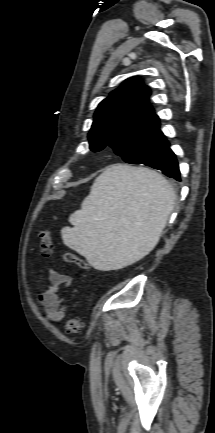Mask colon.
<instances>
[{
    "label": "colon",
    "mask_w": 215,
    "mask_h": 433,
    "mask_svg": "<svg viewBox=\"0 0 215 433\" xmlns=\"http://www.w3.org/2000/svg\"><path fill=\"white\" fill-rule=\"evenodd\" d=\"M40 252L45 258H49L53 254V240L51 232L49 230H42L39 233ZM64 260L67 263L75 264L80 268H87L88 265L81 257L73 252H67L64 254ZM82 322L79 319L71 318L68 319L64 324V330L67 334H77L82 329Z\"/></svg>",
    "instance_id": "colon-1"
}]
</instances>
